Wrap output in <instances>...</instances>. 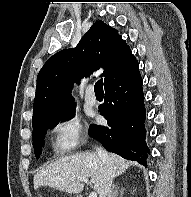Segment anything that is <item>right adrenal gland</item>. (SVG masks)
<instances>
[{
  "mask_svg": "<svg viewBox=\"0 0 191 197\" xmlns=\"http://www.w3.org/2000/svg\"><path fill=\"white\" fill-rule=\"evenodd\" d=\"M122 193H123V191L121 192V194ZM118 195H119V190L116 188V185L113 184L108 197H118Z\"/></svg>",
  "mask_w": 191,
  "mask_h": 197,
  "instance_id": "right-adrenal-gland-1",
  "label": "right adrenal gland"
}]
</instances>
